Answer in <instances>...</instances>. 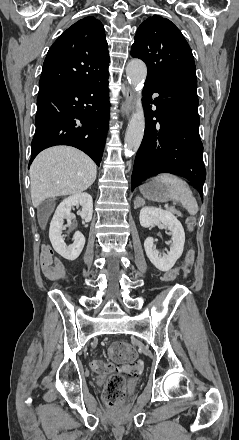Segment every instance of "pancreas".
I'll return each mask as SVG.
<instances>
[{"mask_svg": "<svg viewBox=\"0 0 239 440\" xmlns=\"http://www.w3.org/2000/svg\"><path fill=\"white\" fill-rule=\"evenodd\" d=\"M141 206V204H140ZM173 214H177V216H181V212H177V210H173Z\"/></svg>", "mask_w": 239, "mask_h": 440, "instance_id": "pancreas-1", "label": "pancreas"}]
</instances>
